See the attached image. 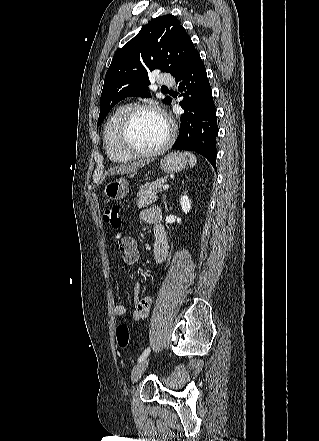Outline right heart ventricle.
<instances>
[{
  "label": "right heart ventricle",
  "mask_w": 319,
  "mask_h": 441,
  "mask_svg": "<svg viewBox=\"0 0 319 441\" xmlns=\"http://www.w3.org/2000/svg\"><path fill=\"white\" fill-rule=\"evenodd\" d=\"M130 107L131 106L126 103L118 105L112 111L104 126L103 139L105 150L108 157L114 162L122 163L132 159L118 144L119 125Z\"/></svg>",
  "instance_id": "right-heart-ventricle-1"
}]
</instances>
